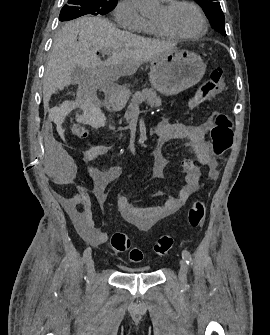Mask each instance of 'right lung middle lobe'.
Segmentation results:
<instances>
[{
    "label": "right lung middle lobe",
    "mask_w": 270,
    "mask_h": 335,
    "mask_svg": "<svg viewBox=\"0 0 270 335\" xmlns=\"http://www.w3.org/2000/svg\"><path fill=\"white\" fill-rule=\"evenodd\" d=\"M117 4V0H67L62 7L59 20L68 21L87 14L105 15Z\"/></svg>",
    "instance_id": "right-lung-middle-lobe-1"
}]
</instances>
